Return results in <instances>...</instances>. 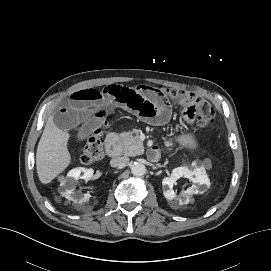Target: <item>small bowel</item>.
Returning a JSON list of instances; mask_svg holds the SVG:
<instances>
[{
  "label": "small bowel",
  "mask_w": 271,
  "mask_h": 271,
  "mask_svg": "<svg viewBox=\"0 0 271 271\" xmlns=\"http://www.w3.org/2000/svg\"><path fill=\"white\" fill-rule=\"evenodd\" d=\"M114 109L155 125L165 124L171 116L170 104L161 90L145 85L128 88L112 84L103 89L86 88L72 93L53 115L48 131L62 135L76 131L77 138L83 139L101 126ZM157 153V149L152 152L154 156Z\"/></svg>",
  "instance_id": "obj_1"
}]
</instances>
